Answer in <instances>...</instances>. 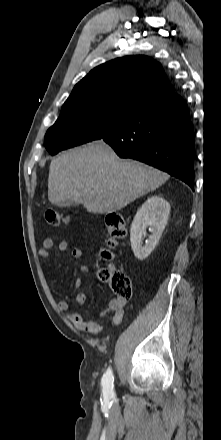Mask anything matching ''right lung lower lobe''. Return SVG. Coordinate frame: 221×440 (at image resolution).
Masks as SVG:
<instances>
[{"label":"right lung lower lobe","instance_id":"1","mask_svg":"<svg viewBox=\"0 0 221 440\" xmlns=\"http://www.w3.org/2000/svg\"><path fill=\"white\" fill-rule=\"evenodd\" d=\"M100 139L121 158L144 162L194 188L193 129L177 93L141 106Z\"/></svg>","mask_w":221,"mask_h":440}]
</instances>
